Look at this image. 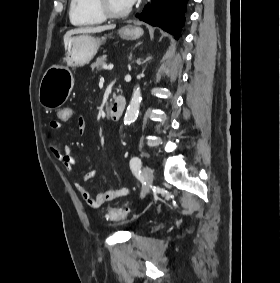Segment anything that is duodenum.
<instances>
[{"mask_svg":"<svg viewBox=\"0 0 280 283\" xmlns=\"http://www.w3.org/2000/svg\"><path fill=\"white\" fill-rule=\"evenodd\" d=\"M126 107V98L124 96H118L115 98L113 104L108 111V118L111 121H117L121 118Z\"/></svg>","mask_w":280,"mask_h":283,"instance_id":"1","label":"duodenum"}]
</instances>
